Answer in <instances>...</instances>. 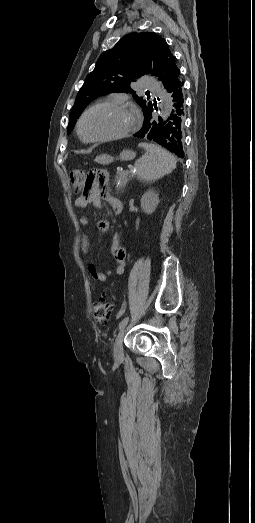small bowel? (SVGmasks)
I'll use <instances>...</instances> for the list:
<instances>
[{
  "label": "small bowel",
  "mask_w": 255,
  "mask_h": 523,
  "mask_svg": "<svg viewBox=\"0 0 255 523\" xmlns=\"http://www.w3.org/2000/svg\"><path fill=\"white\" fill-rule=\"evenodd\" d=\"M89 179L91 182L95 180L94 175L90 174ZM102 197H104L107 202L112 206V201L116 198L108 195L103 194ZM101 195L97 193L94 189L88 190L83 197H79L75 200V205L78 208H85L89 203H92L95 206H98L100 204ZM80 224L83 228H86L89 224V220L87 217L80 218ZM97 228L101 232H107L110 228V223L107 220H99L97 222ZM80 245H81V251L83 254H88L89 252V238L86 232L81 233L80 237ZM111 253L116 261V274L122 275L125 269V259H126V250L124 246H122L117 239H114L111 246ZM88 272L93 280L97 282H106L108 280L109 275L111 274V271L102 272L100 271L96 265L89 264L88 265Z\"/></svg>",
  "instance_id": "c3829d8e"
}]
</instances>
